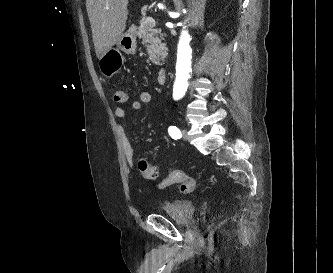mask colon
I'll return each instance as SVG.
<instances>
[{
  "instance_id": "1",
  "label": "colon",
  "mask_w": 333,
  "mask_h": 273,
  "mask_svg": "<svg viewBox=\"0 0 333 273\" xmlns=\"http://www.w3.org/2000/svg\"><path fill=\"white\" fill-rule=\"evenodd\" d=\"M114 100L123 104L129 100V96L125 91L117 90L114 93ZM138 170L147 180H155L157 178L155 168L143 158L138 161ZM174 184L179 185L180 191L186 194L193 192L197 187V181L180 170L170 172L161 183L164 187Z\"/></svg>"
}]
</instances>
